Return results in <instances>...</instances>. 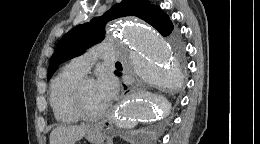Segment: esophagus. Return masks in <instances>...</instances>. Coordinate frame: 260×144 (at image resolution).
Masks as SVG:
<instances>
[{"label": "esophagus", "mask_w": 260, "mask_h": 144, "mask_svg": "<svg viewBox=\"0 0 260 144\" xmlns=\"http://www.w3.org/2000/svg\"><path fill=\"white\" fill-rule=\"evenodd\" d=\"M136 86H137V84L129 86V87L122 93L121 97L127 96V95H129L130 93H132V92L135 90Z\"/></svg>", "instance_id": "esophagus-1"}]
</instances>
